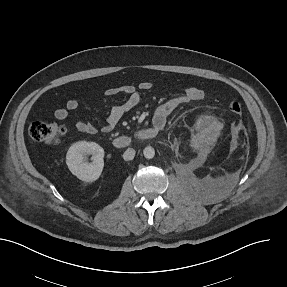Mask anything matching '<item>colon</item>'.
<instances>
[{
	"label": "colon",
	"mask_w": 287,
	"mask_h": 287,
	"mask_svg": "<svg viewBox=\"0 0 287 287\" xmlns=\"http://www.w3.org/2000/svg\"><path fill=\"white\" fill-rule=\"evenodd\" d=\"M243 103L239 97L233 98L229 103V110L234 114L243 112ZM66 129L56 123L33 122L29 128L32 140L47 145H57L64 136Z\"/></svg>",
	"instance_id": "1"
}]
</instances>
